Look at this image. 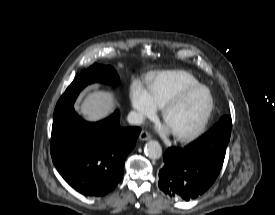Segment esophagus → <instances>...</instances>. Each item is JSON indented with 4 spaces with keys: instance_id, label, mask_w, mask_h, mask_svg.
I'll use <instances>...</instances> for the list:
<instances>
[{
    "instance_id": "34e87169",
    "label": "esophagus",
    "mask_w": 275,
    "mask_h": 215,
    "mask_svg": "<svg viewBox=\"0 0 275 215\" xmlns=\"http://www.w3.org/2000/svg\"><path fill=\"white\" fill-rule=\"evenodd\" d=\"M139 138L142 141H147V140H149L151 138V135H150V133L148 131L142 130L141 133H140V135H139Z\"/></svg>"
}]
</instances>
